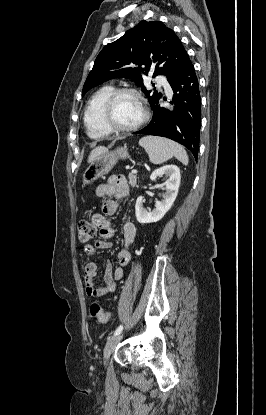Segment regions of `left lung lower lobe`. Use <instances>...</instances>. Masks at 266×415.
Listing matches in <instances>:
<instances>
[{"label":"left lung lower lobe","instance_id":"obj_1","mask_svg":"<svg viewBox=\"0 0 266 415\" xmlns=\"http://www.w3.org/2000/svg\"><path fill=\"white\" fill-rule=\"evenodd\" d=\"M174 92L173 108L157 105L152 108L150 123L134 134L162 136L172 139L198 157L201 96L194 66L188 57L176 77L170 81Z\"/></svg>","mask_w":266,"mask_h":415}]
</instances>
